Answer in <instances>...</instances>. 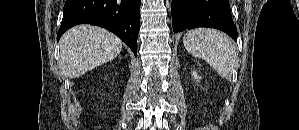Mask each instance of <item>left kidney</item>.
<instances>
[{
  "label": "left kidney",
  "mask_w": 299,
  "mask_h": 130,
  "mask_svg": "<svg viewBox=\"0 0 299 130\" xmlns=\"http://www.w3.org/2000/svg\"><path fill=\"white\" fill-rule=\"evenodd\" d=\"M192 75H193V77H194L195 79H197V80H198V79H201V77L198 76V74H197L196 71H193Z\"/></svg>",
  "instance_id": "5707ae66"
}]
</instances>
